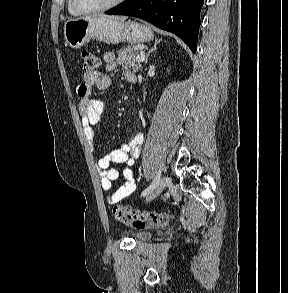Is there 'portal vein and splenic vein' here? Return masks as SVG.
<instances>
[{"instance_id":"obj_1","label":"portal vein and splenic vein","mask_w":288,"mask_h":293,"mask_svg":"<svg viewBox=\"0 0 288 293\" xmlns=\"http://www.w3.org/2000/svg\"><path fill=\"white\" fill-rule=\"evenodd\" d=\"M138 62H143L145 60L144 53L142 52L140 55L136 57Z\"/></svg>"}]
</instances>
